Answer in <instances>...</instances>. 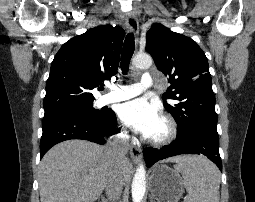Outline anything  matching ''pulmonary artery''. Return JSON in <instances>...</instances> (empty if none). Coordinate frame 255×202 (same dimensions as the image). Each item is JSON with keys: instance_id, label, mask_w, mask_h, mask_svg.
<instances>
[{"instance_id": "pulmonary-artery-1", "label": "pulmonary artery", "mask_w": 255, "mask_h": 202, "mask_svg": "<svg viewBox=\"0 0 255 202\" xmlns=\"http://www.w3.org/2000/svg\"><path fill=\"white\" fill-rule=\"evenodd\" d=\"M153 80L150 74L145 73L142 75L140 83L122 85L115 88L109 94L101 98V104L106 105L113 102L124 101L139 95L144 90L152 87Z\"/></svg>"}]
</instances>
